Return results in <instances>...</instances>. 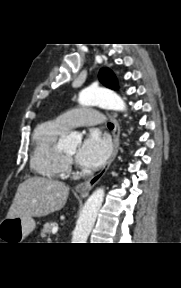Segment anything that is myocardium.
<instances>
[{
    "instance_id": "f54148a6",
    "label": "myocardium",
    "mask_w": 181,
    "mask_h": 288,
    "mask_svg": "<svg viewBox=\"0 0 181 288\" xmlns=\"http://www.w3.org/2000/svg\"><path fill=\"white\" fill-rule=\"evenodd\" d=\"M65 156H66L67 159H71V156H69L67 154H65Z\"/></svg>"
}]
</instances>
